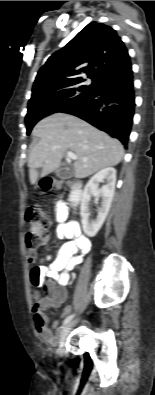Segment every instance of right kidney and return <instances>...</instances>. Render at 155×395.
Segmentation results:
<instances>
[{
  "label": "right kidney",
  "mask_w": 155,
  "mask_h": 395,
  "mask_svg": "<svg viewBox=\"0 0 155 395\" xmlns=\"http://www.w3.org/2000/svg\"><path fill=\"white\" fill-rule=\"evenodd\" d=\"M106 181V184L99 189V183ZM116 183V170L108 167L96 173L86 184L80 206V215L85 234L94 237L102 227L110 210L114 196ZM92 196L102 197L101 207L96 219L90 221L89 202Z\"/></svg>",
  "instance_id": "right-kidney-1"
}]
</instances>
